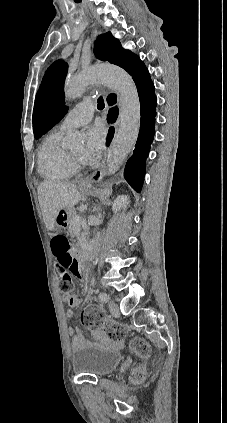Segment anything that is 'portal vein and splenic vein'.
<instances>
[{"label": "portal vein and splenic vein", "instance_id": "1", "mask_svg": "<svg viewBox=\"0 0 227 423\" xmlns=\"http://www.w3.org/2000/svg\"><path fill=\"white\" fill-rule=\"evenodd\" d=\"M73 221H77V223H79V221H81L79 215H75V217H73Z\"/></svg>", "mask_w": 227, "mask_h": 423}]
</instances>
